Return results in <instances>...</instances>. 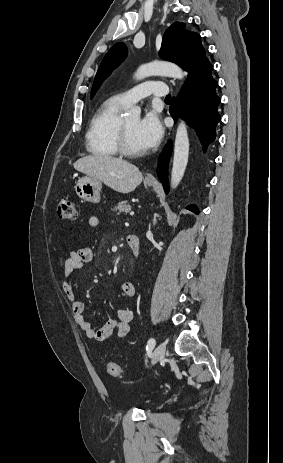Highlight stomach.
Wrapping results in <instances>:
<instances>
[{"mask_svg": "<svg viewBox=\"0 0 283 463\" xmlns=\"http://www.w3.org/2000/svg\"><path fill=\"white\" fill-rule=\"evenodd\" d=\"M148 186H152L153 183L146 182ZM101 181L91 178L83 177L79 179L75 185V192L79 198L84 201L91 203H99L101 200Z\"/></svg>", "mask_w": 283, "mask_h": 463, "instance_id": "1", "label": "stomach"}]
</instances>
